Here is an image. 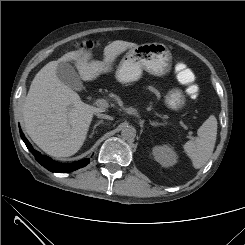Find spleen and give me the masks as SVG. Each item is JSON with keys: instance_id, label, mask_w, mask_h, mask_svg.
<instances>
[{"instance_id": "1", "label": "spleen", "mask_w": 245, "mask_h": 245, "mask_svg": "<svg viewBox=\"0 0 245 245\" xmlns=\"http://www.w3.org/2000/svg\"><path fill=\"white\" fill-rule=\"evenodd\" d=\"M217 137V119L214 115L209 118L197 130V137L183 145L184 151L192 160L196 169L203 167L210 159Z\"/></svg>"}]
</instances>
